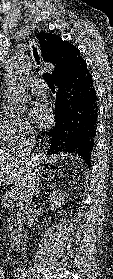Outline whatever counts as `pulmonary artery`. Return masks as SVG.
I'll use <instances>...</instances> for the list:
<instances>
[{
    "label": "pulmonary artery",
    "instance_id": "1",
    "mask_svg": "<svg viewBox=\"0 0 113 279\" xmlns=\"http://www.w3.org/2000/svg\"><path fill=\"white\" fill-rule=\"evenodd\" d=\"M31 87L37 94L44 95L48 92V87H47L46 83L41 79L32 80Z\"/></svg>",
    "mask_w": 113,
    "mask_h": 279
}]
</instances>
